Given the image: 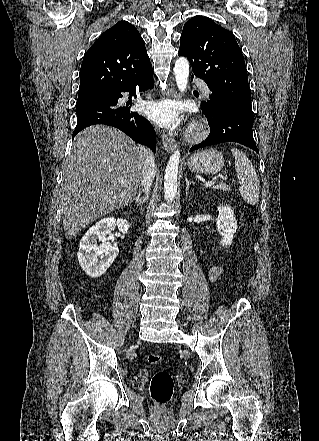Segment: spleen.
<instances>
[{"mask_svg":"<svg viewBox=\"0 0 319 441\" xmlns=\"http://www.w3.org/2000/svg\"><path fill=\"white\" fill-rule=\"evenodd\" d=\"M231 152L235 159L237 177L242 182L239 188L241 196L248 204L255 205L259 200V179L256 171L244 152L237 148H232Z\"/></svg>","mask_w":319,"mask_h":441,"instance_id":"obj_1","label":"spleen"}]
</instances>
